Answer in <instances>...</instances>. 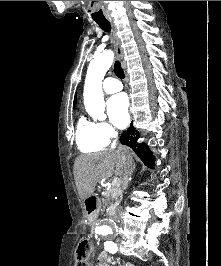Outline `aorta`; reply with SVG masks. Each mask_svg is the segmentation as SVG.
<instances>
[{
    "label": "aorta",
    "mask_w": 221,
    "mask_h": 266,
    "mask_svg": "<svg viewBox=\"0 0 221 266\" xmlns=\"http://www.w3.org/2000/svg\"><path fill=\"white\" fill-rule=\"evenodd\" d=\"M114 54L110 50L103 51L96 55L90 62L85 84H84V105L90 116L94 119H103L105 117V103L102 91V80L111 67ZM101 232H111L113 227L101 225L98 227Z\"/></svg>",
    "instance_id": "aorta-1"
}]
</instances>
